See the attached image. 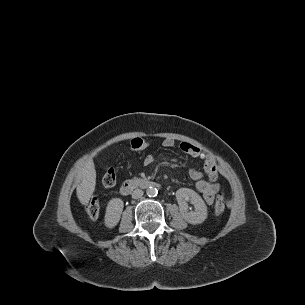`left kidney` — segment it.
Listing matches in <instances>:
<instances>
[{"label": "left kidney", "instance_id": "left-kidney-1", "mask_svg": "<svg viewBox=\"0 0 305 305\" xmlns=\"http://www.w3.org/2000/svg\"><path fill=\"white\" fill-rule=\"evenodd\" d=\"M179 211L183 219L190 224H201L208 216L207 206L201 196L192 189L180 188L176 191ZM187 201L194 205V211H189Z\"/></svg>", "mask_w": 305, "mask_h": 305}]
</instances>
